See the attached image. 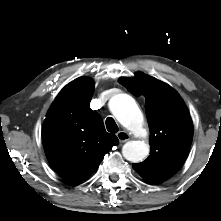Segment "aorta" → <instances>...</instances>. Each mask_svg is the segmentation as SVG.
Here are the masks:
<instances>
[{
	"mask_svg": "<svg viewBox=\"0 0 221 221\" xmlns=\"http://www.w3.org/2000/svg\"><path fill=\"white\" fill-rule=\"evenodd\" d=\"M109 108L118 122L135 135L144 132V118L135 100L128 94L120 93L109 101ZM122 154L133 163L144 160L149 154V145L144 141H129L124 144Z\"/></svg>",
	"mask_w": 221,
	"mask_h": 221,
	"instance_id": "762f6f07",
	"label": "aorta"
}]
</instances>
